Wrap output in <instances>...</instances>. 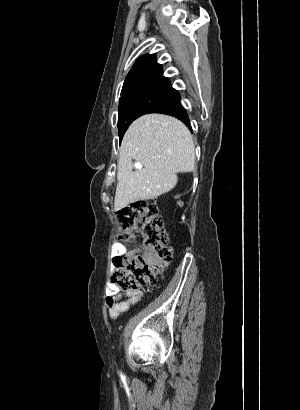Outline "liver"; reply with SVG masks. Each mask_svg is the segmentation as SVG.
<instances>
[{
  "label": "liver",
  "instance_id": "liver-1",
  "mask_svg": "<svg viewBox=\"0 0 300 410\" xmlns=\"http://www.w3.org/2000/svg\"><path fill=\"white\" fill-rule=\"evenodd\" d=\"M132 159L144 168L133 171ZM194 166L193 138L181 121L163 114L138 118L126 131L120 147L115 211L169 192L178 181L177 173L192 172Z\"/></svg>",
  "mask_w": 300,
  "mask_h": 410
}]
</instances>
